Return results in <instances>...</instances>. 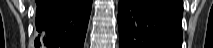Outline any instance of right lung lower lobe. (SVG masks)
<instances>
[{
  "mask_svg": "<svg viewBox=\"0 0 213 48\" xmlns=\"http://www.w3.org/2000/svg\"><path fill=\"white\" fill-rule=\"evenodd\" d=\"M35 46L83 48L92 0H36Z\"/></svg>",
  "mask_w": 213,
  "mask_h": 48,
  "instance_id": "1",
  "label": "right lung lower lobe"
}]
</instances>
